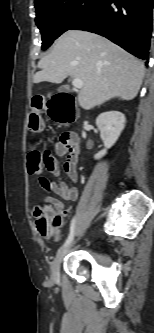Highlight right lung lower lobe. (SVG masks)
<instances>
[{
	"label": "right lung lower lobe",
	"mask_w": 154,
	"mask_h": 333,
	"mask_svg": "<svg viewBox=\"0 0 154 333\" xmlns=\"http://www.w3.org/2000/svg\"><path fill=\"white\" fill-rule=\"evenodd\" d=\"M153 0H100L70 29L102 35L140 59H149ZM148 63V61H146Z\"/></svg>",
	"instance_id": "right-lung-lower-lobe-1"
}]
</instances>
